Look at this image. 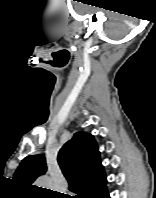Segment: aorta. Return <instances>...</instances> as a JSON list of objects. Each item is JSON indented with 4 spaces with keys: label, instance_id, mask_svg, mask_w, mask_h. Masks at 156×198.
Listing matches in <instances>:
<instances>
[{
    "label": "aorta",
    "instance_id": "762f6f07",
    "mask_svg": "<svg viewBox=\"0 0 156 198\" xmlns=\"http://www.w3.org/2000/svg\"><path fill=\"white\" fill-rule=\"evenodd\" d=\"M38 185L39 187H43V188L48 187L50 186V180L47 177H42L41 179H39Z\"/></svg>",
    "mask_w": 156,
    "mask_h": 198
}]
</instances>
